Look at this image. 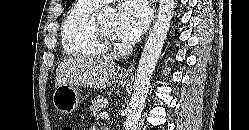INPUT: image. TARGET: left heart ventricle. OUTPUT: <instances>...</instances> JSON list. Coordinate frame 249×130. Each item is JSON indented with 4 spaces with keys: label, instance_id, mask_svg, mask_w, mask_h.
I'll return each mask as SVG.
<instances>
[{
    "label": "left heart ventricle",
    "instance_id": "b2bd125f",
    "mask_svg": "<svg viewBox=\"0 0 249 130\" xmlns=\"http://www.w3.org/2000/svg\"><path fill=\"white\" fill-rule=\"evenodd\" d=\"M101 26L104 28L106 32H108L111 35L116 36V27H117V22L115 20H110V21H104L100 23Z\"/></svg>",
    "mask_w": 249,
    "mask_h": 130
}]
</instances>
